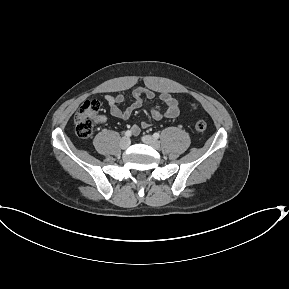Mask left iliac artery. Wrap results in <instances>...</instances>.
<instances>
[{
  "label": "left iliac artery",
  "mask_w": 289,
  "mask_h": 289,
  "mask_svg": "<svg viewBox=\"0 0 289 289\" xmlns=\"http://www.w3.org/2000/svg\"><path fill=\"white\" fill-rule=\"evenodd\" d=\"M154 138L158 139L160 137L159 133H154L153 134Z\"/></svg>",
  "instance_id": "1"
}]
</instances>
